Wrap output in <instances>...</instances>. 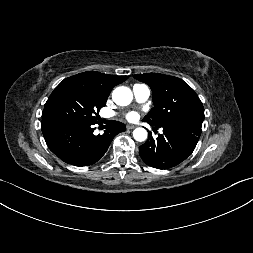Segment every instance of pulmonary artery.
<instances>
[{"label":"pulmonary artery","mask_w":253,"mask_h":253,"mask_svg":"<svg viewBox=\"0 0 253 253\" xmlns=\"http://www.w3.org/2000/svg\"><path fill=\"white\" fill-rule=\"evenodd\" d=\"M134 98L138 103H144L148 100L151 90L145 84H135L133 86Z\"/></svg>","instance_id":"e3ab8cb5"}]
</instances>
